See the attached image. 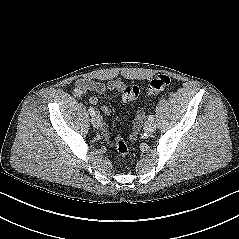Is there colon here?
<instances>
[{
    "label": "colon",
    "mask_w": 239,
    "mask_h": 239,
    "mask_svg": "<svg viewBox=\"0 0 239 239\" xmlns=\"http://www.w3.org/2000/svg\"><path fill=\"white\" fill-rule=\"evenodd\" d=\"M170 84V77L165 74L155 76L146 88H141L136 85H125L122 89V97L124 101H133L140 96H153L164 90ZM115 148L118 154L125 157L129 153V147L120 135L115 137Z\"/></svg>",
    "instance_id": "1"
}]
</instances>
